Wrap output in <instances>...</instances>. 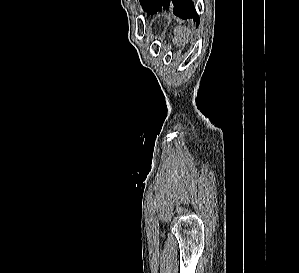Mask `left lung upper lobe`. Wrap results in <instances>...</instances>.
Segmentation results:
<instances>
[{
  "label": "left lung upper lobe",
  "mask_w": 299,
  "mask_h": 273,
  "mask_svg": "<svg viewBox=\"0 0 299 273\" xmlns=\"http://www.w3.org/2000/svg\"><path fill=\"white\" fill-rule=\"evenodd\" d=\"M147 0H140L141 4L144 6Z\"/></svg>",
  "instance_id": "5c2ea615"
}]
</instances>
